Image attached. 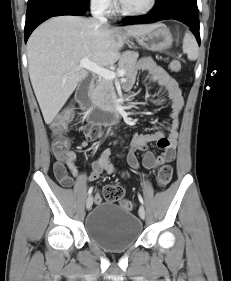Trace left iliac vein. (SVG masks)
Listing matches in <instances>:
<instances>
[{
	"mask_svg": "<svg viewBox=\"0 0 231 281\" xmlns=\"http://www.w3.org/2000/svg\"><path fill=\"white\" fill-rule=\"evenodd\" d=\"M138 213L141 219H145L146 213L143 206H140Z\"/></svg>",
	"mask_w": 231,
	"mask_h": 281,
	"instance_id": "1",
	"label": "left iliac vein"
}]
</instances>
